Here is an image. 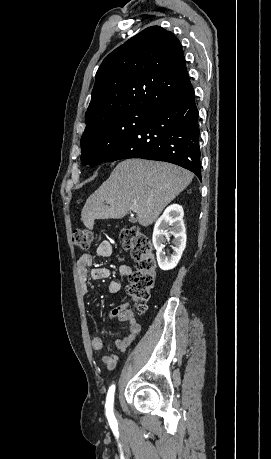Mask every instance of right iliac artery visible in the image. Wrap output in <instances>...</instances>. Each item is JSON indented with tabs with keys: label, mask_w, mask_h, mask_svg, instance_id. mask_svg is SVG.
Returning <instances> with one entry per match:
<instances>
[{
	"label": "right iliac artery",
	"mask_w": 271,
	"mask_h": 459,
	"mask_svg": "<svg viewBox=\"0 0 271 459\" xmlns=\"http://www.w3.org/2000/svg\"><path fill=\"white\" fill-rule=\"evenodd\" d=\"M114 392H115V385H112L108 390L106 404H105L106 416L110 424L116 421L114 417V413H113Z\"/></svg>",
	"instance_id": "right-iliac-artery-1"
}]
</instances>
